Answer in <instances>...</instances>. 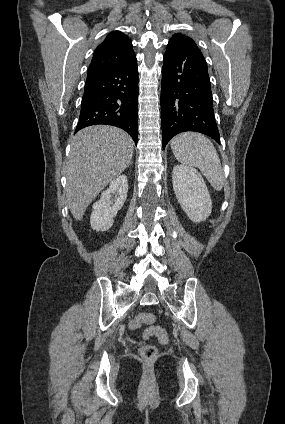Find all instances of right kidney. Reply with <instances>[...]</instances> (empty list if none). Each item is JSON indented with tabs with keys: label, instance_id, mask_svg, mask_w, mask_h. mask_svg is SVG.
<instances>
[{
	"label": "right kidney",
	"instance_id": "obj_1",
	"mask_svg": "<svg viewBox=\"0 0 285 424\" xmlns=\"http://www.w3.org/2000/svg\"><path fill=\"white\" fill-rule=\"evenodd\" d=\"M128 183L126 175H119L111 181L109 188L103 191L99 201L93 204V212L90 217V224L93 230H109L127 198ZM112 195H115L112 198Z\"/></svg>",
	"mask_w": 285,
	"mask_h": 424
}]
</instances>
